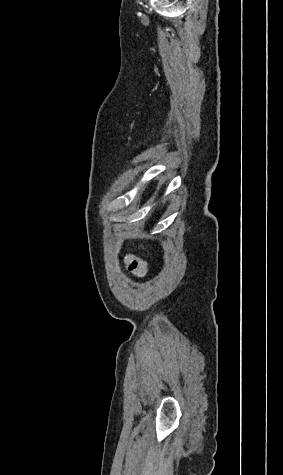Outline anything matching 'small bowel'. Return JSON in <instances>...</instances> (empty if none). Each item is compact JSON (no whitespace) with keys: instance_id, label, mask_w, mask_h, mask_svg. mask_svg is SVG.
<instances>
[{"instance_id":"obj_1","label":"small bowel","mask_w":283,"mask_h":475,"mask_svg":"<svg viewBox=\"0 0 283 475\" xmlns=\"http://www.w3.org/2000/svg\"><path fill=\"white\" fill-rule=\"evenodd\" d=\"M126 269L135 277L142 278L147 275L148 268L145 260L134 256L126 255L124 258Z\"/></svg>"}]
</instances>
